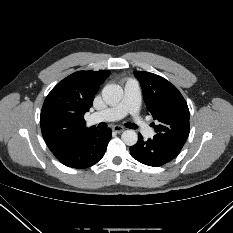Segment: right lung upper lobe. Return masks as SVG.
Returning <instances> with one entry per match:
<instances>
[{
  "label": "right lung upper lobe",
  "mask_w": 233,
  "mask_h": 233,
  "mask_svg": "<svg viewBox=\"0 0 233 233\" xmlns=\"http://www.w3.org/2000/svg\"><path fill=\"white\" fill-rule=\"evenodd\" d=\"M110 71H78L59 82L43 104L40 125L44 140L53 154L72 144L95 126L86 128L89 111L101 83Z\"/></svg>",
  "instance_id": "1"
}]
</instances>
